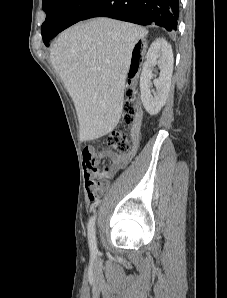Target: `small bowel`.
Wrapping results in <instances>:
<instances>
[{"label": "small bowel", "mask_w": 227, "mask_h": 298, "mask_svg": "<svg viewBox=\"0 0 227 298\" xmlns=\"http://www.w3.org/2000/svg\"><path fill=\"white\" fill-rule=\"evenodd\" d=\"M140 122L141 114L139 113L132 128V136L135 141L139 136ZM82 157L85 168L86 188L89 191L96 183V187L101 195L109 185L108 180L129 163L132 155L110 153L107 150H99V146H86L85 150L82 151ZM104 157H109L113 163L111 166L99 170L97 159ZM97 178H101V180L97 181Z\"/></svg>", "instance_id": "small-bowel-1"}]
</instances>
